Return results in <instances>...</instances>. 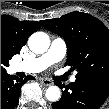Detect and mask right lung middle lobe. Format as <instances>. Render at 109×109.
Returning <instances> with one entry per match:
<instances>
[{
  "mask_svg": "<svg viewBox=\"0 0 109 109\" xmlns=\"http://www.w3.org/2000/svg\"><path fill=\"white\" fill-rule=\"evenodd\" d=\"M5 66H8V63L4 60L3 54H2V50H1V71H3V68Z\"/></svg>",
  "mask_w": 109,
  "mask_h": 109,
  "instance_id": "1",
  "label": "right lung middle lobe"
}]
</instances>
